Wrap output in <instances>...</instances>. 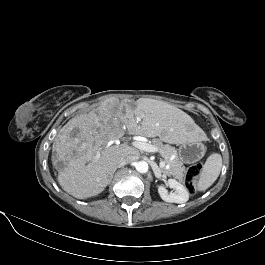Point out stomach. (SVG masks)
I'll return each instance as SVG.
<instances>
[{
	"instance_id": "stomach-1",
	"label": "stomach",
	"mask_w": 265,
	"mask_h": 265,
	"mask_svg": "<svg viewBox=\"0 0 265 265\" xmlns=\"http://www.w3.org/2000/svg\"><path fill=\"white\" fill-rule=\"evenodd\" d=\"M204 153V145L197 140L181 143L178 148L179 159L185 164H193L199 161L203 157Z\"/></svg>"
}]
</instances>
